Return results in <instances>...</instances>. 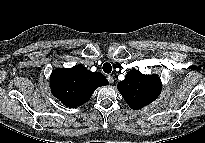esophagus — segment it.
I'll return each mask as SVG.
<instances>
[{
  "instance_id": "esophagus-1",
  "label": "esophagus",
  "mask_w": 205,
  "mask_h": 143,
  "mask_svg": "<svg viewBox=\"0 0 205 143\" xmlns=\"http://www.w3.org/2000/svg\"><path fill=\"white\" fill-rule=\"evenodd\" d=\"M107 80L109 81V83H113L114 82V78L111 75L107 76Z\"/></svg>"
}]
</instances>
